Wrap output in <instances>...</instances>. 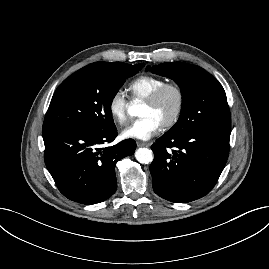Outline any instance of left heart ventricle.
I'll list each match as a JSON object with an SVG mask.
<instances>
[{
	"label": "left heart ventricle",
	"mask_w": 269,
	"mask_h": 269,
	"mask_svg": "<svg viewBox=\"0 0 269 269\" xmlns=\"http://www.w3.org/2000/svg\"><path fill=\"white\" fill-rule=\"evenodd\" d=\"M176 106V93L172 90H168L163 94V96L156 104L149 105L144 102L140 111V116H153L160 122L161 125H163L171 118L176 109Z\"/></svg>",
	"instance_id": "b2bd125f"
}]
</instances>
